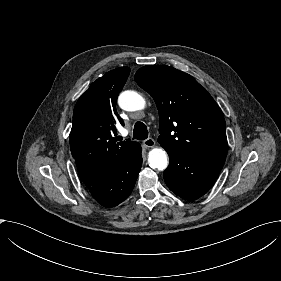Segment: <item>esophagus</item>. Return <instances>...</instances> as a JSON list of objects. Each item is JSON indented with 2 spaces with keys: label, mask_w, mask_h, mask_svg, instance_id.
<instances>
[{
  "label": "esophagus",
  "mask_w": 281,
  "mask_h": 281,
  "mask_svg": "<svg viewBox=\"0 0 281 281\" xmlns=\"http://www.w3.org/2000/svg\"><path fill=\"white\" fill-rule=\"evenodd\" d=\"M143 145L145 147L151 148L155 146V141L152 138H148L143 141Z\"/></svg>",
  "instance_id": "1"
}]
</instances>
